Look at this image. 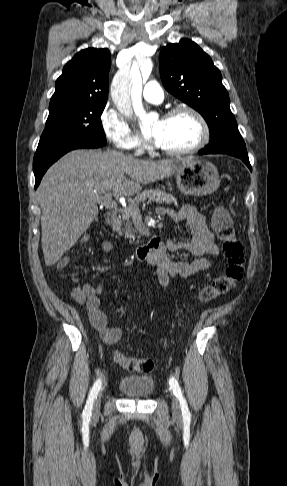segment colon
<instances>
[{"instance_id": "colon-1", "label": "colon", "mask_w": 287, "mask_h": 486, "mask_svg": "<svg viewBox=\"0 0 287 486\" xmlns=\"http://www.w3.org/2000/svg\"><path fill=\"white\" fill-rule=\"evenodd\" d=\"M212 228L222 242L226 267L221 274L214 277L208 285L202 288L199 293L201 302L213 301L227 293L241 280L245 267L243 245L236 236L232 218L225 208L219 207L214 211ZM66 264L67 262L61 260L58 265L64 267ZM73 296L80 303L86 300L81 288L76 289ZM114 359L121 367L129 371L147 373L154 367L151 359L129 357L119 352L115 353Z\"/></svg>"}]
</instances>
